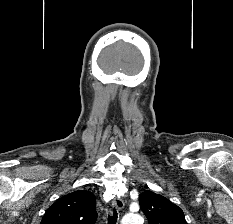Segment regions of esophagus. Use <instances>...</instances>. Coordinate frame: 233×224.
I'll list each match as a JSON object with an SVG mask.
<instances>
[{
	"mask_svg": "<svg viewBox=\"0 0 233 224\" xmlns=\"http://www.w3.org/2000/svg\"><path fill=\"white\" fill-rule=\"evenodd\" d=\"M112 205L117 209V210H122L124 207V201L121 198H115L113 200Z\"/></svg>",
	"mask_w": 233,
	"mask_h": 224,
	"instance_id": "obj_1",
	"label": "esophagus"
}]
</instances>
